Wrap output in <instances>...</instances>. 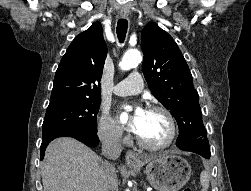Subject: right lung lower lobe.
Returning a JSON list of instances; mask_svg holds the SVG:
<instances>
[{"label":"right lung lower lobe","mask_w":251,"mask_h":191,"mask_svg":"<svg viewBox=\"0 0 251 191\" xmlns=\"http://www.w3.org/2000/svg\"><path fill=\"white\" fill-rule=\"evenodd\" d=\"M73 137L85 145L89 147H96L99 144V138L97 136V133L94 132H88L86 130L78 129V128H68L63 129L57 132H54L50 136L46 138H42V144L40 147V155L41 159L44 157L45 149L47 145L55 138L58 137Z\"/></svg>","instance_id":"right-lung-lower-lobe-1"}]
</instances>
